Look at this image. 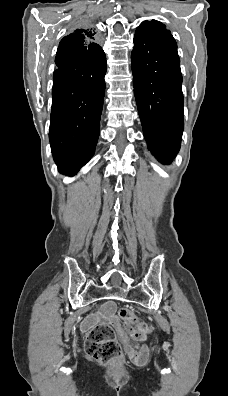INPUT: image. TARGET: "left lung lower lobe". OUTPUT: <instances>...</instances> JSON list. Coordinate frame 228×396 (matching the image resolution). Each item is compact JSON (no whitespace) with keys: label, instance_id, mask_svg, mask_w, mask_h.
<instances>
[{"label":"left lung lower lobe","instance_id":"1","mask_svg":"<svg viewBox=\"0 0 228 396\" xmlns=\"http://www.w3.org/2000/svg\"><path fill=\"white\" fill-rule=\"evenodd\" d=\"M131 53L134 93L148 149L170 164L184 129L182 74L177 44L170 32L155 28L134 36Z\"/></svg>","mask_w":228,"mask_h":396}]
</instances>
